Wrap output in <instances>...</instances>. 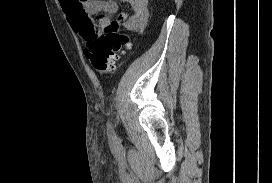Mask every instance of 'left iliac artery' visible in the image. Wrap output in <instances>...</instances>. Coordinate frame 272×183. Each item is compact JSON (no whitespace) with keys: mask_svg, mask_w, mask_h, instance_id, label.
<instances>
[{"mask_svg":"<svg viewBox=\"0 0 272 183\" xmlns=\"http://www.w3.org/2000/svg\"><path fill=\"white\" fill-rule=\"evenodd\" d=\"M107 127H108V131H109L110 135L112 137L116 138V134H115V132L113 130V126H112V124L110 122H108Z\"/></svg>","mask_w":272,"mask_h":183,"instance_id":"44dca946","label":"left iliac artery"}]
</instances>
